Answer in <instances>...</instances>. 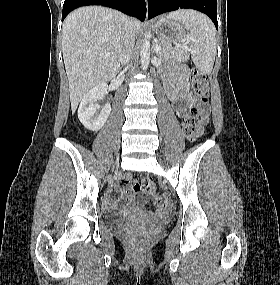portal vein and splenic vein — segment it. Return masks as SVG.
I'll return each mask as SVG.
<instances>
[{"label":"portal vein and splenic vein","instance_id":"obj_1","mask_svg":"<svg viewBox=\"0 0 280 285\" xmlns=\"http://www.w3.org/2000/svg\"><path fill=\"white\" fill-rule=\"evenodd\" d=\"M189 41V38H185V39H183L181 42H182V44H177V46H179V47H186L185 46V44L187 43ZM162 50V48L160 47V46H156L155 48H154V51L155 52H160ZM106 57H109V54H107L106 55Z\"/></svg>","mask_w":280,"mask_h":285}]
</instances>
